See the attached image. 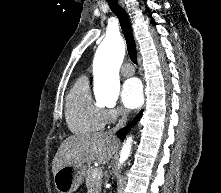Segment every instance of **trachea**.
Wrapping results in <instances>:
<instances>
[{"mask_svg":"<svg viewBox=\"0 0 221 193\" xmlns=\"http://www.w3.org/2000/svg\"><path fill=\"white\" fill-rule=\"evenodd\" d=\"M112 12L118 17L121 28L126 40L127 50L131 61L137 64L136 44L130 24V20L124 9L118 4L117 0H107Z\"/></svg>","mask_w":221,"mask_h":193,"instance_id":"3493384b","label":"trachea"}]
</instances>
